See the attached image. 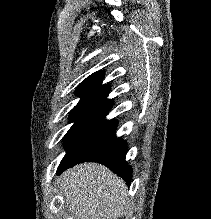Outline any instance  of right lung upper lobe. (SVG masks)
<instances>
[{"mask_svg": "<svg viewBox=\"0 0 211 219\" xmlns=\"http://www.w3.org/2000/svg\"><path fill=\"white\" fill-rule=\"evenodd\" d=\"M103 72L98 71L87 77L76 89V94L81 97L80 101L90 100L102 104L113 105L106 97L110 92L109 85H102Z\"/></svg>", "mask_w": 211, "mask_h": 219, "instance_id": "cb5924a9", "label": "right lung upper lobe"}]
</instances>
